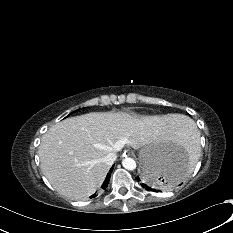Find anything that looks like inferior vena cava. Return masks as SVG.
Here are the masks:
<instances>
[{"instance_id": "602c4592", "label": "inferior vena cava", "mask_w": 233, "mask_h": 233, "mask_svg": "<svg viewBox=\"0 0 233 233\" xmlns=\"http://www.w3.org/2000/svg\"><path fill=\"white\" fill-rule=\"evenodd\" d=\"M116 158H117L116 153L112 152V153L107 154V155L104 157V162H105L107 165L111 166V165L115 162Z\"/></svg>"}]
</instances>
